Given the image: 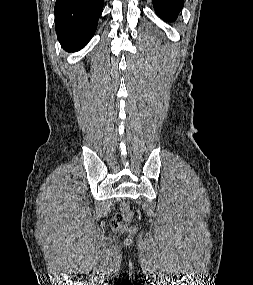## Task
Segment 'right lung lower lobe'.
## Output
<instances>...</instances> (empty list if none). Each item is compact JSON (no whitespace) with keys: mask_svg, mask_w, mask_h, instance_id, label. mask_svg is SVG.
Instances as JSON below:
<instances>
[{"mask_svg":"<svg viewBox=\"0 0 253 285\" xmlns=\"http://www.w3.org/2000/svg\"><path fill=\"white\" fill-rule=\"evenodd\" d=\"M104 0H56L55 29L68 52L83 48L94 35Z\"/></svg>","mask_w":253,"mask_h":285,"instance_id":"98d812e1","label":"right lung lower lobe"}]
</instances>
